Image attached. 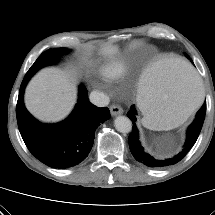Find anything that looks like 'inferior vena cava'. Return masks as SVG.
<instances>
[{
  "instance_id": "602c4592",
  "label": "inferior vena cava",
  "mask_w": 215,
  "mask_h": 215,
  "mask_svg": "<svg viewBox=\"0 0 215 215\" xmlns=\"http://www.w3.org/2000/svg\"><path fill=\"white\" fill-rule=\"evenodd\" d=\"M89 99L94 105L98 107L108 106L110 102L109 96L99 91H92L90 93Z\"/></svg>"
}]
</instances>
